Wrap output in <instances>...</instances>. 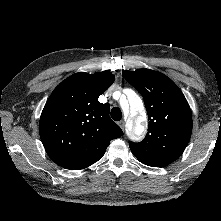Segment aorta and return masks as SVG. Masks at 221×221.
Segmentation results:
<instances>
[{"mask_svg":"<svg viewBox=\"0 0 221 221\" xmlns=\"http://www.w3.org/2000/svg\"><path fill=\"white\" fill-rule=\"evenodd\" d=\"M129 103L131 111L134 115L129 118L128 134L133 139H138L144 134L146 130V124H145L146 116H145L144 105L141 98L133 91L129 96ZM122 106L124 110L127 111L124 103L122 104Z\"/></svg>","mask_w":221,"mask_h":221,"instance_id":"aorta-1","label":"aorta"}]
</instances>
